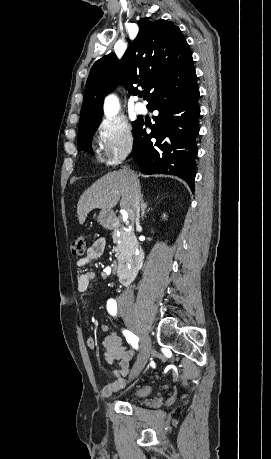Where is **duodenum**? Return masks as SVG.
<instances>
[{
    "label": "duodenum",
    "instance_id": "1",
    "mask_svg": "<svg viewBox=\"0 0 271 459\" xmlns=\"http://www.w3.org/2000/svg\"><path fill=\"white\" fill-rule=\"evenodd\" d=\"M111 224L114 227H120L121 223L118 219H112ZM145 259V250L141 245L137 246L136 254L132 260L129 269L123 270L118 274V281L122 285H129L135 278L137 271L143 266Z\"/></svg>",
    "mask_w": 271,
    "mask_h": 459
}]
</instances>
